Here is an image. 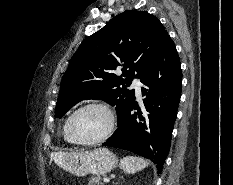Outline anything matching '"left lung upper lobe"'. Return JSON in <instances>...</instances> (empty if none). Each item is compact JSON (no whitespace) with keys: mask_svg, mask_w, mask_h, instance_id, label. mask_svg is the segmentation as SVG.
<instances>
[{"mask_svg":"<svg viewBox=\"0 0 233 185\" xmlns=\"http://www.w3.org/2000/svg\"><path fill=\"white\" fill-rule=\"evenodd\" d=\"M169 35L160 20L146 11L127 10L87 37L69 62L55 109L61 118L84 99H100L116 105L118 121L131 106L134 90H126L140 78ZM123 66V74L114 71ZM122 86L123 88H121Z\"/></svg>","mask_w":233,"mask_h":185,"instance_id":"left-lung-upper-lobe-1","label":"left lung upper lobe"}]
</instances>
